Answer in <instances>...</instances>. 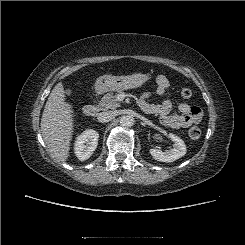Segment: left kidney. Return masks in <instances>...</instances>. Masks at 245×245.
I'll return each mask as SVG.
<instances>
[{
	"instance_id": "1",
	"label": "left kidney",
	"mask_w": 245,
	"mask_h": 245,
	"mask_svg": "<svg viewBox=\"0 0 245 245\" xmlns=\"http://www.w3.org/2000/svg\"><path fill=\"white\" fill-rule=\"evenodd\" d=\"M169 137L174 142L173 148L165 152L156 148L150 149L151 156L161 162H174L175 160L183 157L186 154V145L184 141L175 134L170 133Z\"/></svg>"
}]
</instances>
